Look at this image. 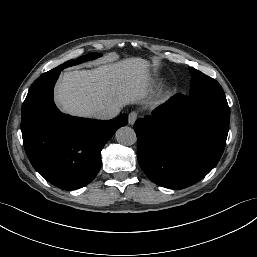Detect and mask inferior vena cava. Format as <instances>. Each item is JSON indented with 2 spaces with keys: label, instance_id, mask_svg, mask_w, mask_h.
<instances>
[{
  "label": "inferior vena cava",
  "instance_id": "602c4592",
  "mask_svg": "<svg viewBox=\"0 0 257 257\" xmlns=\"http://www.w3.org/2000/svg\"><path fill=\"white\" fill-rule=\"evenodd\" d=\"M119 112V107L98 108L93 112L92 116L100 120H109L115 118L119 114Z\"/></svg>",
  "mask_w": 257,
  "mask_h": 257
}]
</instances>
